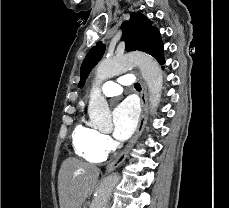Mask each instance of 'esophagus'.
Instances as JSON below:
<instances>
[{"label": "esophagus", "instance_id": "34e87169", "mask_svg": "<svg viewBox=\"0 0 229 208\" xmlns=\"http://www.w3.org/2000/svg\"><path fill=\"white\" fill-rule=\"evenodd\" d=\"M137 76H138V79L140 80L141 86H142V90L140 92V104H141L142 111H141L138 127H137V130H136L134 137L127 143V145L125 146L123 151L113 161H111L107 165V167H106L107 172L114 171L116 168H118V166L121 165V163H123V161L128 156L129 151L131 150V148H133V146L135 145V143L139 139L140 135L142 134V132L146 126V122L148 119V113H149L147 85L144 82V80L142 79V77L140 76L139 72H137Z\"/></svg>", "mask_w": 229, "mask_h": 208}]
</instances>
